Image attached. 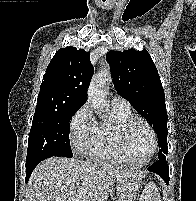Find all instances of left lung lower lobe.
<instances>
[{"label":"left lung lower lobe","instance_id":"1","mask_svg":"<svg viewBox=\"0 0 196 201\" xmlns=\"http://www.w3.org/2000/svg\"><path fill=\"white\" fill-rule=\"evenodd\" d=\"M148 170L158 174L167 185L169 184V167L165 157L159 158Z\"/></svg>","mask_w":196,"mask_h":201}]
</instances>
